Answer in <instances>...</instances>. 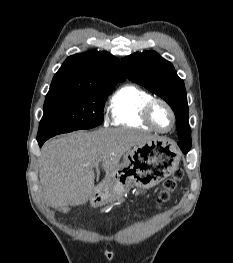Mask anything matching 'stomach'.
Wrapping results in <instances>:
<instances>
[{"instance_id": "1", "label": "stomach", "mask_w": 233, "mask_h": 263, "mask_svg": "<svg viewBox=\"0 0 233 263\" xmlns=\"http://www.w3.org/2000/svg\"><path fill=\"white\" fill-rule=\"evenodd\" d=\"M179 161L177 148L166 138L155 137L136 145L90 203L99 207L122 198L131 187L151 188L170 176L178 168Z\"/></svg>"}]
</instances>
